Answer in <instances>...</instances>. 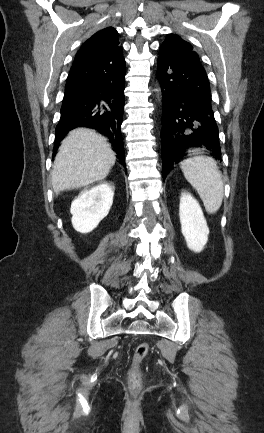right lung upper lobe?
Here are the masks:
<instances>
[{
  "label": "right lung upper lobe",
  "instance_id": "1",
  "mask_svg": "<svg viewBox=\"0 0 264 433\" xmlns=\"http://www.w3.org/2000/svg\"><path fill=\"white\" fill-rule=\"evenodd\" d=\"M98 59L111 63L124 60L122 47L119 45L118 32L113 27L104 28L86 40L77 52L74 61Z\"/></svg>",
  "mask_w": 264,
  "mask_h": 433
}]
</instances>
